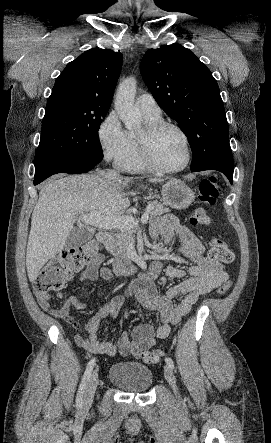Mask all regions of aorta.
Returning a JSON list of instances; mask_svg holds the SVG:
<instances>
[{"label": "aorta", "mask_w": 271, "mask_h": 443, "mask_svg": "<svg viewBox=\"0 0 271 443\" xmlns=\"http://www.w3.org/2000/svg\"><path fill=\"white\" fill-rule=\"evenodd\" d=\"M137 82L135 78H126L119 84L115 98V110L123 122L126 130H138L141 128V116L139 108H136L135 96Z\"/></svg>", "instance_id": "762f6f07"}]
</instances>
